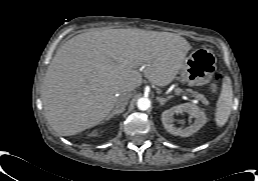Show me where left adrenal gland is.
<instances>
[{
    "label": "left adrenal gland",
    "instance_id": "a2214340",
    "mask_svg": "<svg viewBox=\"0 0 258 181\" xmlns=\"http://www.w3.org/2000/svg\"><path fill=\"white\" fill-rule=\"evenodd\" d=\"M170 98L171 96H168L167 98H161V97H156V100L161 104L164 105Z\"/></svg>",
    "mask_w": 258,
    "mask_h": 181
}]
</instances>
